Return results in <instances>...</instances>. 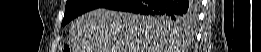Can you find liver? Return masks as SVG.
<instances>
[{"mask_svg":"<svg viewBox=\"0 0 261 52\" xmlns=\"http://www.w3.org/2000/svg\"><path fill=\"white\" fill-rule=\"evenodd\" d=\"M75 52H179L173 24L158 16L95 9L70 27Z\"/></svg>","mask_w":261,"mask_h":52,"instance_id":"1","label":"liver"}]
</instances>
